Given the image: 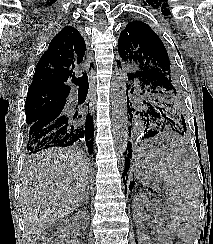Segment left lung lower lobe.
Returning a JSON list of instances; mask_svg holds the SVG:
<instances>
[{
    "label": "left lung lower lobe",
    "instance_id": "left-lung-lower-lobe-1",
    "mask_svg": "<svg viewBox=\"0 0 213 244\" xmlns=\"http://www.w3.org/2000/svg\"><path fill=\"white\" fill-rule=\"evenodd\" d=\"M132 111H135V110L134 109H131L129 107V103H128V113H129V115L131 117H132ZM140 113H141L142 116H144L146 118L145 123H147V125L149 126V129L148 130H145L146 133L142 137V140L149 139V138H153V137L157 136L159 133L165 132L164 131V128L162 127V124L156 123L155 120L152 117H150L146 112H143L142 111ZM130 131H131V128H129V132ZM129 136H130V134H129ZM132 147H133L132 146V143L131 142H128V144H127V152H125V154L127 155V157L125 159V169H124L123 177L126 176L127 171L129 170L130 158L132 156ZM127 178H128V176H127Z\"/></svg>",
    "mask_w": 213,
    "mask_h": 244
}]
</instances>
